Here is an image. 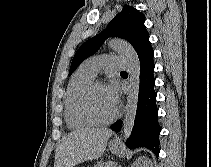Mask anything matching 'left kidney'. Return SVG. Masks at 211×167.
I'll return each instance as SVG.
<instances>
[{"label":"left kidney","instance_id":"obj_1","mask_svg":"<svg viewBox=\"0 0 211 167\" xmlns=\"http://www.w3.org/2000/svg\"><path fill=\"white\" fill-rule=\"evenodd\" d=\"M131 167H153L150 159L146 157H140Z\"/></svg>","mask_w":211,"mask_h":167}]
</instances>
